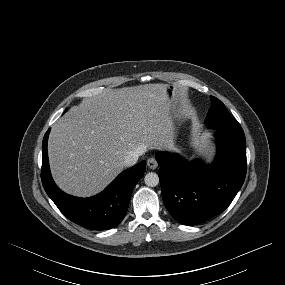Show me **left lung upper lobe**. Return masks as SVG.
I'll return each instance as SVG.
<instances>
[{
	"instance_id": "left-lung-upper-lobe-1",
	"label": "left lung upper lobe",
	"mask_w": 285,
	"mask_h": 285,
	"mask_svg": "<svg viewBox=\"0 0 285 285\" xmlns=\"http://www.w3.org/2000/svg\"><path fill=\"white\" fill-rule=\"evenodd\" d=\"M211 107L205 119L209 128H237L240 124L229 114L224 104L216 97L211 96Z\"/></svg>"
}]
</instances>
